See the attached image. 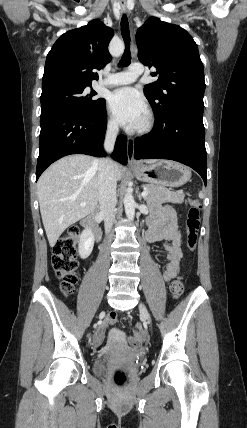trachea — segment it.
<instances>
[{"instance_id":"1","label":"trachea","mask_w":247,"mask_h":428,"mask_svg":"<svg viewBox=\"0 0 247 428\" xmlns=\"http://www.w3.org/2000/svg\"><path fill=\"white\" fill-rule=\"evenodd\" d=\"M121 34L125 42V50L119 62L120 67L128 65L131 60L129 24L125 14L121 18Z\"/></svg>"}]
</instances>
